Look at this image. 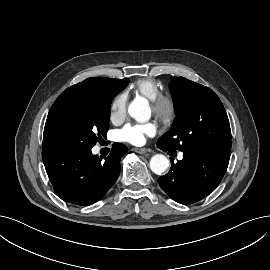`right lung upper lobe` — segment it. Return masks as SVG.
<instances>
[{"label": "right lung upper lobe", "instance_id": "obj_1", "mask_svg": "<svg viewBox=\"0 0 270 270\" xmlns=\"http://www.w3.org/2000/svg\"><path fill=\"white\" fill-rule=\"evenodd\" d=\"M123 79L104 77L88 78L83 82L67 88L58 98L78 96L82 94L105 95L111 93Z\"/></svg>", "mask_w": 270, "mask_h": 270}]
</instances>
